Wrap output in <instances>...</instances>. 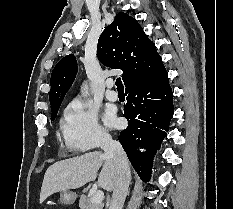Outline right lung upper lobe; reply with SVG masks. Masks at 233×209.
<instances>
[{
    "label": "right lung upper lobe",
    "instance_id": "obj_1",
    "mask_svg": "<svg viewBox=\"0 0 233 209\" xmlns=\"http://www.w3.org/2000/svg\"><path fill=\"white\" fill-rule=\"evenodd\" d=\"M97 57L104 65L123 70L126 89L150 77L162 64L155 44L146 36L137 20L126 13H118L98 40ZM74 55H67L51 74L49 101L51 109L59 108L77 74Z\"/></svg>",
    "mask_w": 233,
    "mask_h": 209
}]
</instances>
